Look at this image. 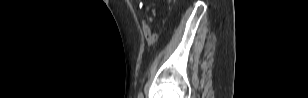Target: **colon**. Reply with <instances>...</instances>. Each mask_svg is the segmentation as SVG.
<instances>
[{"label":"colon","instance_id":"colon-1","mask_svg":"<svg viewBox=\"0 0 308 98\" xmlns=\"http://www.w3.org/2000/svg\"><path fill=\"white\" fill-rule=\"evenodd\" d=\"M146 38L149 42H154L156 40V35L154 33H151V34L147 35Z\"/></svg>","mask_w":308,"mask_h":98}]
</instances>
